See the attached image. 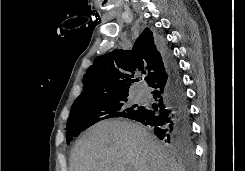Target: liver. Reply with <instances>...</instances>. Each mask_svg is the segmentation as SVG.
I'll return each instance as SVG.
<instances>
[{"instance_id":"liver-1","label":"liver","mask_w":245,"mask_h":171,"mask_svg":"<svg viewBox=\"0 0 245 171\" xmlns=\"http://www.w3.org/2000/svg\"><path fill=\"white\" fill-rule=\"evenodd\" d=\"M70 171H184L143 126L101 121L77 140Z\"/></svg>"}]
</instances>
